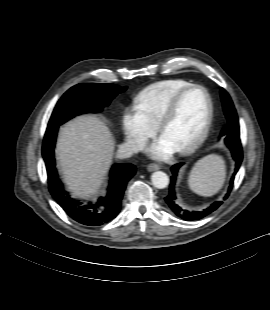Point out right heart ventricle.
<instances>
[{"instance_id":"1","label":"right heart ventricle","mask_w":270,"mask_h":310,"mask_svg":"<svg viewBox=\"0 0 270 310\" xmlns=\"http://www.w3.org/2000/svg\"><path fill=\"white\" fill-rule=\"evenodd\" d=\"M190 85H192L190 82L182 79L159 81L140 91L137 102L148 119L157 126L172 98Z\"/></svg>"}]
</instances>
